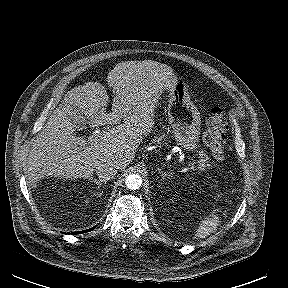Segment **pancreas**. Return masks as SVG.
Masks as SVG:
<instances>
[{"label":"pancreas","mask_w":288,"mask_h":288,"mask_svg":"<svg viewBox=\"0 0 288 288\" xmlns=\"http://www.w3.org/2000/svg\"><path fill=\"white\" fill-rule=\"evenodd\" d=\"M198 165L201 169L210 168V158L206 153L199 154Z\"/></svg>","instance_id":"1"}]
</instances>
